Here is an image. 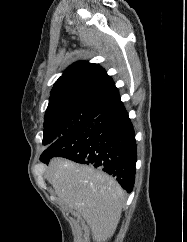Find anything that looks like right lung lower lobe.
Returning a JSON list of instances; mask_svg holds the SVG:
<instances>
[{
  "label": "right lung lower lobe",
  "mask_w": 187,
  "mask_h": 242,
  "mask_svg": "<svg viewBox=\"0 0 187 242\" xmlns=\"http://www.w3.org/2000/svg\"><path fill=\"white\" fill-rule=\"evenodd\" d=\"M135 133L121 100L104 108L103 112L53 142L40 160L66 157L78 163L91 164L116 178L128 193L135 180Z\"/></svg>",
  "instance_id": "98d812e1"
}]
</instances>
